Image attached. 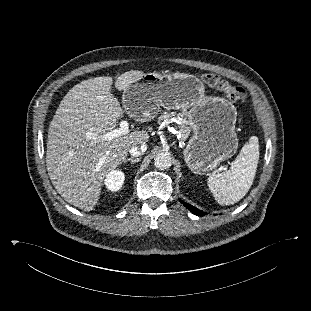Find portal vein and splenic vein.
<instances>
[{"label": "portal vein and splenic vein", "instance_id": "1", "mask_svg": "<svg viewBox=\"0 0 311 311\" xmlns=\"http://www.w3.org/2000/svg\"><path fill=\"white\" fill-rule=\"evenodd\" d=\"M127 132H129V123L126 120H122L120 122V128L113 129V130L105 133L102 137L105 140H111V139L117 138V137H119V136H121Z\"/></svg>", "mask_w": 311, "mask_h": 311}]
</instances>
